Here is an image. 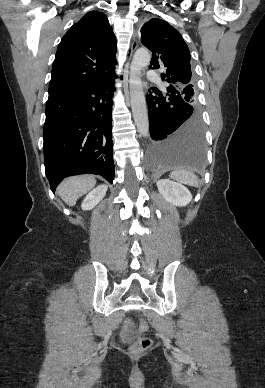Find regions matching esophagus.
Instances as JSON below:
<instances>
[{
  "mask_svg": "<svg viewBox=\"0 0 265 388\" xmlns=\"http://www.w3.org/2000/svg\"><path fill=\"white\" fill-rule=\"evenodd\" d=\"M137 46H138V40L134 39L132 42V48H137Z\"/></svg>",
  "mask_w": 265,
  "mask_h": 388,
  "instance_id": "1",
  "label": "esophagus"
}]
</instances>
